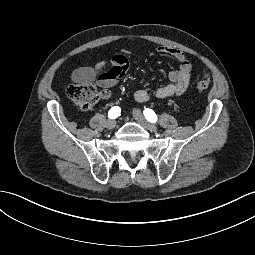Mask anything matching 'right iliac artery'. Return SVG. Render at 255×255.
I'll return each instance as SVG.
<instances>
[{
	"label": "right iliac artery",
	"instance_id": "right-iliac-artery-1",
	"mask_svg": "<svg viewBox=\"0 0 255 255\" xmlns=\"http://www.w3.org/2000/svg\"><path fill=\"white\" fill-rule=\"evenodd\" d=\"M121 113V109L119 106L112 107L108 112V117L110 119H116Z\"/></svg>",
	"mask_w": 255,
	"mask_h": 255
}]
</instances>
